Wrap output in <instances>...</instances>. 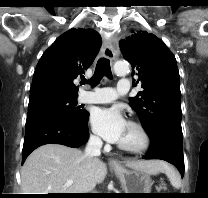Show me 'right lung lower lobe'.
<instances>
[{"mask_svg":"<svg viewBox=\"0 0 208 198\" xmlns=\"http://www.w3.org/2000/svg\"><path fill=\"white\" fill-rule=\"evenodd\" d=\"M87 122L79 123L61 115H45L26 122L22 163L37 147L62 144L68 147L84 145L89 137Z\"/></svg>","mask_w":208,"mask_h":198,"instance_id":"1","label":"right lung lower lobe"}]
</instances>
